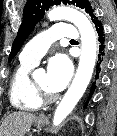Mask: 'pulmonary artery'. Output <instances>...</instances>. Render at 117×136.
I'll list each match as a JSON object with an SVG mask.
<instances>
[{
	"mask_svg": "<svg viewBox=\"0 0 117 136\" xmlns=\"http://www.w3.org/2000/svg\"><path fill=\"white\" fill-rule=\"evenodd\" d=\"M76 38H78L77 29L67 23H61L44 30L27 43L21 52V60L36 64L54 41L58 39Z\"/></svg>",
	"mask_w": 117,
	"mask_h": 136,
	"instance_id": "pulmonary-artery-1",
	"label": "pulmonary artery"
}]
</instances>
